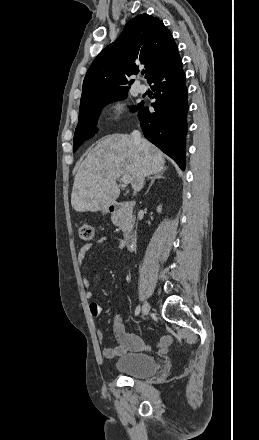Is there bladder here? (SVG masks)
Returning <instances> with one entry per match:
<instances>
[{"label":"bladder","mask_w":259,"mask_h":440,"mask_svg":"<svg viewBox=\"0 0 259 440\" xmlns=\"http://www.w3.org/2000/svg\"><path fill=\"white\" fill-rule=\"evenodd\" d=\"M115 369L125 376L143 379L155 375L159 370V364L148 353L130 352L116 359Z\"/></svg>","instance_id":"obj_1"}]
</instances>
